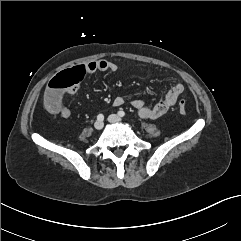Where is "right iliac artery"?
<instances>
[{"label":"right iliac artery","mask_w":241,"mask_h":241,"mask_svg":"<svg viewBox=\"0 0 241 241\" xmlns=\"http://www.w3.org/2000/svg\"><path fill=\"white\" fill-rule=\"evenodd\" d=\"M97 120L98 121H103L104 120V115L103 114H98Z\"/></svg>","instance_id":"right-iliac-artery-1"}]
</instances>
